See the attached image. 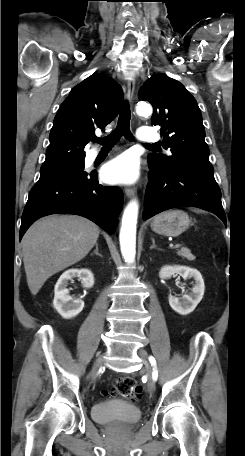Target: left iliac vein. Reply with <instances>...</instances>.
Wrapping results in <instances>:
<instances>
[{"label":"left iliac vein","mask_w":245,"mask_h":456,"mask_svg":"<svg viewBox=\"0 0 245 456\" xmlns=\"http://www.w3.org/2000/svg\"><path fill=\"white\" fill-rule=\"evenodd\" d=\"M138 354L147 363L146 359L148 357V354H147L146 350L139 349L138 350ZM146 372H147V375H148L147 389H148L149 392H153L155 390V382H154V380H153V378H152V376L150 374V369L149 368H147Z\"/></svg>","instance_id":"obj_1"}]
</instances>
